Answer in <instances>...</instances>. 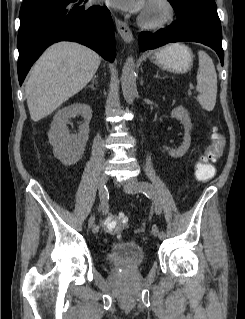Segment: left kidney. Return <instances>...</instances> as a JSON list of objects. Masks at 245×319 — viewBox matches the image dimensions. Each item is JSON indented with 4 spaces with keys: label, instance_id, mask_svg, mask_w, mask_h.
<instances>
[{
    "label": "left kidney",
    "instance_id": "1",
    "mask_svg": "<svg viewBox=\"0 0 245 319\" xmlns=\"http://www.w3.org/2000/svg\"><path fill=\"white\" fill-rule=\"evenodd\" d=\"M171 116L179 120L185 128V134H184V138H183V142L181 146L178 149L166 148L170 156L179 158L185 155V153L188 151L190 147V144H191L190 130L192 128V123H191V119H190L188 111L182 106H178L174 108L171 112Z\"/></svg>",
    "mask_w": 245,
    "mask_h": 319
}]
</instances>
